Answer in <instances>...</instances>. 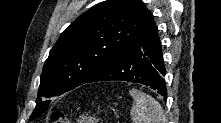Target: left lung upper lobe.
Returning <instances> with one entry per match:
<instances>
[{
    "instance_id": "obj_1",
    "label": "left lung upper lobe",
    "mask_w": 221,
    "mask_h": 123,
    "mask_svg": "<svg viewBox=\"0 0 221 123\" xmlns=\"http://www.w3.org/2000/svg\"><path fill=\"white\" fill-rule=\"evenodd\" d=\"M153 22L141 0H106L79 16L50 50L30 118L48 109L50 100L46 99L86 83Z\"/></svg>"
}]
</instances>
